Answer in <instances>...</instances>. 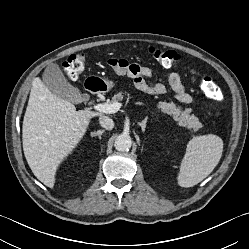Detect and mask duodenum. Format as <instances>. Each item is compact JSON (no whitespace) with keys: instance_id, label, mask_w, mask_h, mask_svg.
Here are the masks:
<instances>
[{"instance_id":"410a0bca","label":"duodenum","mask_w":249,"mask_h":249,"mask_svg":"<svg viewBox=\"0 0 249 249\" xmlns=\"http://www.w3.org/2000/svg\"><path fill=\"white\" fill-rule=\"evenodd\" d=\"M86 89L94 94H101L103 90L102 86L98 83H87Z\"/></svg>"}]
</instances>
